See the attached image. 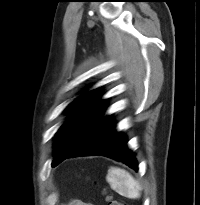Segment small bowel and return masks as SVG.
I'll list each match as a JSON object with an SVG mask.
<instances>
[{
	"mask_svg": "<svg viewBox=\"0 0 200 205\" xmlns=\"http://www.w3.org/2000/svg\"><path fill=\"white\" fill-rule=\"evenodd\" d=\"M74 205H93L91 203L76 202Z\"/></svg>",
	"mask_w": 200,
	"mask_h": 205,
	"instance_id": "c3829d8e",
	"label": "small bowel"
}]
</instances>
